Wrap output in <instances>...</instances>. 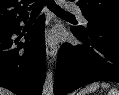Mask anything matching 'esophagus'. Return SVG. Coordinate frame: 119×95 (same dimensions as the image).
<instances>
[{"mask_svg":"<svg viewBox=\"0 0 119 95\" xmlns=\"http://www.w3.org/2000/svg\"><path fill=\"white\" fill-rule=\"evenodd\" d=\"M57 54V46L56 44L51 41V39L48 37L46 38V55L47 58L55 59Z\"/></svg>","mask_w":119,"mask_h":95,"instance_id":"esophagus-1","label":"esophagus"}]
</instances>
